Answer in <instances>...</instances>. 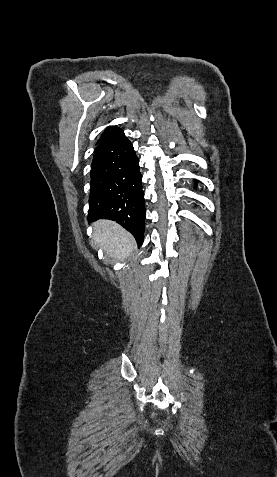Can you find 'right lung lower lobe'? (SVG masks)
I'll return each instance as SVG.
<instances>
[{
	"mask_svg": "<svg viewBox=\"0 0 277 477\" xmlns=\"http://www.w3.org/2000/svg\"><path fill=\"white\" fill-rule=\"evenodd\" d=\"M91 168L88 221H116L141 245L145 230L142 175L139 159L123 130L97 144Z\"/></svg>",
	"mask_w": 277,
	"mask_h": 477,
	"instance_id": "right-lung-lower-lobe-1",
	"label": "right lung lower lobe"
}]
</instances>
